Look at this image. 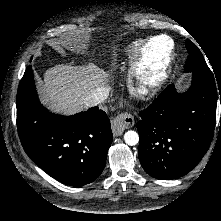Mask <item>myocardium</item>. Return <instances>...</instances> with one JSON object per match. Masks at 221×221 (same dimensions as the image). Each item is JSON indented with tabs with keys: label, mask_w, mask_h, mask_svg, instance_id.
I'll use <instances>...</instances> for the list:
<instances>
[{
	"label": "myocardium",
	"mask_w": 221,
	"mask_h": 221,
	"mask_svg": "<svg viewBox=\"0 0 221 221\" xmlns=\"http://www.w3.org/2000/svg\"><path fill=\"white\" fill-rule=\"evenodd\" d=\"M161 37L168 40L169 48L157 62L153 63L150 48L154 40ZM175 49L174 40L165 34L149 37L141 43L128 71L129 88L136 97L144 99L156 94L157 88L169 76L175 58Z\"/></svg>",
	"instance_id": "f54148a6"
}]
</instances>
